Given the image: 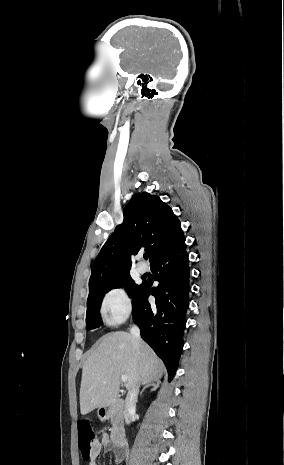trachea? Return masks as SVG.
I'll return each instance as SVG.
<instances>
[{"label":"trachea","instance_id":"3493384b","mask_svg":"<svg viewBox=\"0 0 284 465\" xmlns=\"http://www.w3.org/2000/svg\"><path fill=\"white\" fill-rule=\"evenodd\" d=\"M148 257H149V256H148V254H144V258H145V260H147V259H148Z\"/></svg>","mask_w":284,"mask_h":465}]
</instances>
